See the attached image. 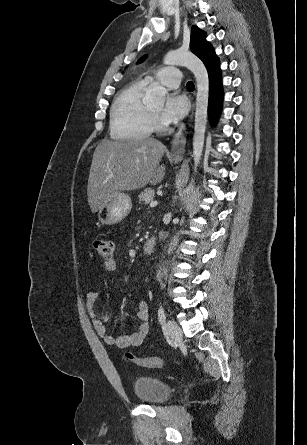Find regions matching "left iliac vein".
<instances>
[{
	"instance_id": "left-iliac-vein-1",
	"label": "left iliac vein",
	"mask_w": 307,
	"mask_h": 445,
	"mask_svg": "<svg viewBox=\"0 0 307 445\" xmlns=\"http://www.w3.org/2000/svg\"><path fill=\"white\" fill-rule=\"evenodd\" d=\"M166 328L171 339H179L182 336V330L175 321L168 320Z\"/></svg>"
}]
</instances>
